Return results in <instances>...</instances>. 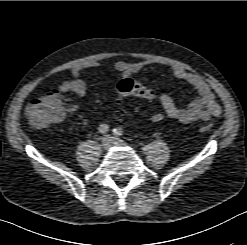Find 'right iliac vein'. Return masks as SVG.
<instances>
[{
    "label": "right iliac vein",
    "instance_id": "63e3f726",
    "mask_svg": "<svg viewBox=\"0 0 247 245\" xmlns=\"http://www.w3.org/2000/svg\"><path fill=\"white\" fill-rule=\"evenodd\" d=\"M112 144H113V139L110 136H105L101 141V147L104 150H108Z\"/></svg>",
    "mask_w": 247,
    "mask_h": 245
}]
</instances>
